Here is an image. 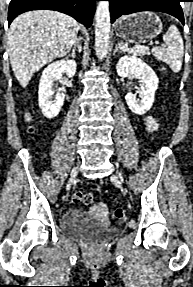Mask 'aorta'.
I'll use <instances>...</instances> for the list:
<instances>
[{
    "label": "aorta",
    "instance_id": "762f6f07",
    "mask_svg": "<svg viewBox=\"0 0 193 287\" xmlns=\"http://www.w3.org/2000/svg\"><path fill=\"white\" fill-rule=\"evenodd\" d=\"M110 25L109 2L100 1L95 14V51L99 60L108 53Z\"/></svg>",
    "mask_w": 193,
    "mask_h": 287
}]
</instances>
